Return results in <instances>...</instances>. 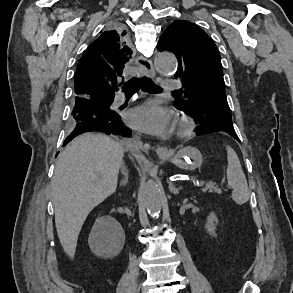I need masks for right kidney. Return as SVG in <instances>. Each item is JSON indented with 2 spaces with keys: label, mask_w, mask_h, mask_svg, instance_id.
<instances>
[{
  "label": "right kidney",
  "mask_w": 293,
  "mask_h": 293,
  "mask_svg": "<svg viewBox=\"0 0 293 293\" xmlns=\"http://www.w3.org/2000/svg\"><path fill=\"white\" fill-rule=\"evenodd\" d=\"M100 221L101 220H97V222ZM106 221L114 222L117 225V232H115L112 227L106 226L107 237L102 241V247L108 250L112 255H117L124 245L125 235L121 226L114 218L108 217Z\"/></svg>",
  "instance_id": "obj_1"
}]
</instances>
